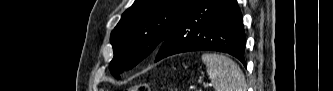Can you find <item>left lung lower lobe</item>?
I'll list each match as a JSON object with an SVG mask.
<instances>
[{
    "label": "left lung lower lobe",
    "instance_id": "left-lung-lower-lobe-1",
    "mask_svg": "<svg viewBox=\"0 0 333 91\" xmlns=\"http://www.w3.org/2000/svg\"><path fill=\"white\" fill-rule=\"evenodd\" d=\"M243 18L236 0H198L158 47L155 62L189 51H219L246 67Z\"/></svg>",
    "mask_w": 333,
    "mask_h": 91
}]
</instances>
